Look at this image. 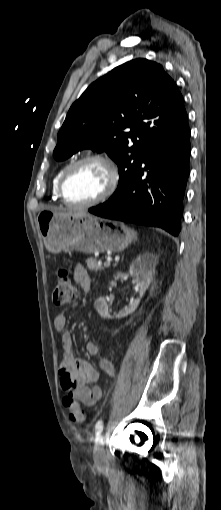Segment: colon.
Wrapping results in <instances>:
<instances>
[{"label": "colon", "mask_w": 221, "mask_h": 510, "mask_svg": "<svg viewBox=\"0 0 221 510\" xmlns=\"http://www.w3.org/2000/svg\"><path fill=\"white\" fill-rule=\"evenodd\" d=\"M77 297V290L73 285L68 269L62 268L58 271L53 289V303L62 307ZM63 404L69 411V417L73 422H82L84 412L81 405L70 395L63 398Z\"/></svg>", "instance_id": "1"}]
</instances>
